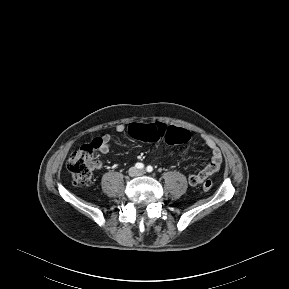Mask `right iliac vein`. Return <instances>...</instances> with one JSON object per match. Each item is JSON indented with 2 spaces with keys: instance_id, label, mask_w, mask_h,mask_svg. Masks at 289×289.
Segmentation results:
<instances>
[{
  "instance_id": "obj_1",
  "label": "right iliac vein",
  "mask_w": 289,
  "mask_h": 289,
  "mask_svg": "<svg viewBox=\"0 0 289 289\" xmlns=\"http://www.w3.org/2000/svg\"><path fill=\"white\" fill-rule=\"evenodd\" d=\"M137 174V170L135 169V168H131L130 170H129V175L130 176H135Z\"/></svg>"
}]
</instances>
